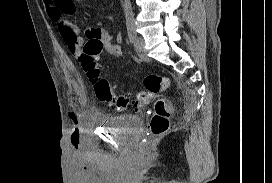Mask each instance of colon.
<instances>
[{"label":"colon","instance_id":"colon-1","mask_svg":"<svg viewBox=\"0 0 272 183\" xmlns=\"http://www.w3.org/2000/svg\"><path fill=\"white\" fill-rule=\"evenodd\" d=\"M103 49L104 47L100 42L90 40L85 43L79 56L83 70L93 84L96 96L100 101L114 105L119 110L132 106L137 111L142 109L151 98L169 88L170 80L168 77L151 73L143 80L144 91L138 93L135 97L117 94L99 67V58ZM171 115L170 102L166 99H159L155 104V113L151 120V130L154 135L163 134L168 129Z\"/></svg>","mask_w":272,"mask_h":183}]
</instances>
